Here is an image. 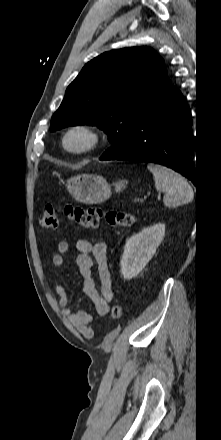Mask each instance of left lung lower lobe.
Wrapping results in <instances>:
<instances>
[{"label": "left lung lower lobe", "instance_id": "left-lung-lower-lobe-1", "mask_svg": "<svg viewBox=\"0 0 221 440\" xmlns=\"http://www.w3.org/2000/svg\"><path fill=\"white\" fill-rule=\"evenodd\" d=\"M191 111L169 83L135 124L129 146L118 157L100 160L153 162L172 168L195 184L190 150L195 146Z\"/></svg>", "mask_w": 221, "mask_h": 440}]
</instances>
